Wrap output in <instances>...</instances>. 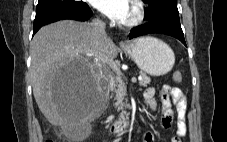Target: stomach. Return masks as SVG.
Wrapping results in <instances>:
<instances>
[{"instance_id": "obj_1", "label": "stomach", "mask_w": 227, "mask_h": 142, "mask_svg": "<svg viewBox=\"0 0 227 142\" xmlns=\"http://www.w3.org/2000/svg\"><path fill=\"white\" fill-rule=\"evenodd\" d=\"M122 49L142 71L152 76L167 74L175 63L172 49L154 37L137 38L128 42Z\"/></svg>"}]
</instances>
